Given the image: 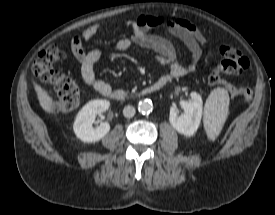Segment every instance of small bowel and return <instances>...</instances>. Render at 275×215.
I'll return each instance as SVG.
<instances>
[{
	"label": "small bowel",
	"mask_w": 275,
	"mask_h": 215,
	"mask_svg": "<svg viewBox=\"0 0 275 215\" xmlns=\"http://www.w3.org/2000/svg\"><path fill=\"white\" fill-rule=\"evenodd\" d=\"M157 26L164 27L167 32L185 43L191 52V59L187 65L177 61L176 50L171 42L150 33V30ZM130 27L132 35L119 39L111 46V49L122 52L129 50L135 44L153 50L157 60L169 68V73L161 77L168 79V81L194 72L202 56V47L210 45L201 30L193 22L186 19L170 20L161 16L142 14L130 22ZM101 29V25H91L80 35L74 36L71 41V51L80 63L84 83L101 95L106 96L111 91V86L98 79L95 73V65L104 55L105 49L95 48L86 52L83 47V41L95 37Z\"/></svg>",
	"instance_id": "1"
}]
</instances>
